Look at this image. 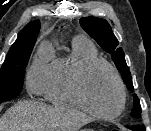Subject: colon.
Returning a JSON list of instances; mask_svg holds the SVG:
<instances>
[{
	"label": "colon",
	"mask_w": 151,
	"mask_h": 131,
	"mask_svg": "<svg viewBox=\"0 0 151 131\" xmlns=\"http://www.w3.org/2000/svg\"><path fill=\"white\" fill-rule=\"evenodd\" d=\"M111 131H121L120 129H112Z\"/></svg>",
	"instance_id": "5ec220e1"
}]
</instances>
